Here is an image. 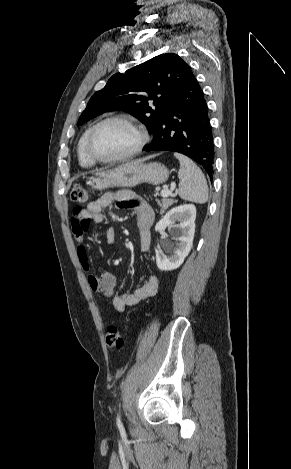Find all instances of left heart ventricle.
I'll use <instances>...</instances> for the list:
<instances>
[{
    "mask_svg": "<svg viewBox=\"0 0 291 469\" xmlns=\"http://www.w3.org/2000/svg\"><path fill=\"white\" fill-rule=\"evenodd\" d=\"M139 140L137 132L124 122H110L100 127L92 140V149L102 158L120 156L132 150Z\"/></svg>",
    "mask_w": 291,
    "mask_h": 469,
    "instance_id": "obj_1",
    "label": "left heart ventricle"
}]
</instances>
